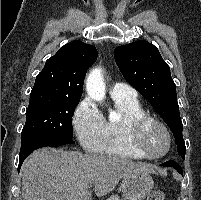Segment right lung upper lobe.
<instances>
[{"mask_svg":"<svg viewBox=\"0 0 201 200\" xmlns=\"http://www.w3.org/2000/svg\"><path fill=\"white\" fill-rule=\"evenodd\" d=\"M97 54L94 46L78 40L64 45L46 61L31 93L81 98L86 72Z\"/></svg>","mask_w":201,"mask_h":200,"instance_id":"1","label":"right lung upper lobe"}]
</instances>
